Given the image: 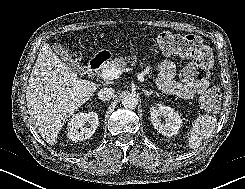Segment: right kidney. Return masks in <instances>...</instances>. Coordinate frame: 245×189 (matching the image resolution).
<instances>
[{
  "mask_svg": "<svg viewBox=\"0 0 245 189\" xmlns=\"http://www.w3.org/2000/svg\"><path fill=\"white\" fill-rule=\"evenodd\" d=\"M86 123L90 127H84ZM98 123L99 119L96 112L78 113L68 122L67 136L75 142L89 139L97 129Z\"/></svg>",
  "mask_w": 245,
  "mask_h": 189,
  "instance_id": "1",
  "label": "right kidney"
}]
</instances>
